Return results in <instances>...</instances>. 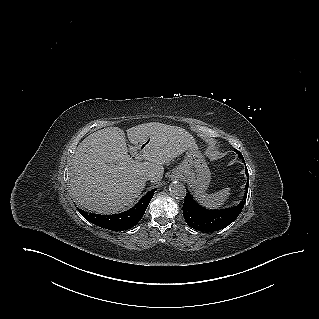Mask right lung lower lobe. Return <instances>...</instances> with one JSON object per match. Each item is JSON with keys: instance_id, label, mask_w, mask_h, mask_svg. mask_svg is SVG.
<instances>
[{"instance_id": "98d812e1", "label": "right lung lower lobe", "mask_w": 319, "mask_h": 319, "mask_svg": "<svg viewBox=\"0 0 319 319\" xmlns=\"http://www.w3.org/2000/svg\"><path fill=\"white\" fill-rule=\"evenodd\" d=\"M156 189L149 191L130 210L114 215H99L79 210L80 214L89 222L112 231H124L134 227L143 217Z\"/></svg>"}]
</instances>
